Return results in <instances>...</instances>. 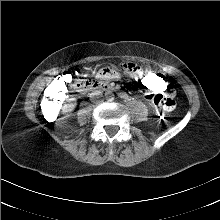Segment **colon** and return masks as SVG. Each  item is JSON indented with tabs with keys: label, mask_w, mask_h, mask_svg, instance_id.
<instances>
[{
	"label": "colon",
	"mask_w": 220,
	"mask_h": 220,
	"mask_svg": "<svg viewBox=\"0 0 220 220\" xmlns=\"http://www.w3.org/2000/svg\"><path fill=\"white\" fill-rule=\"evenodd\" d=\"M139 72L133 76H129L130 81L135 87L146 88L151 92H158L152 94L149 100L157 106L156 117L160 121H167L171 117V110L175 106L173 95L161 94L169 89L170 81L166 75L158 73L156 70L148 69L138 66ZM79 71H71L63 73L56 78L50 87V94L44 100V112L55 111L60 104V96L63 94L65 83L74 77L78 76Z\"/></svg>",
	"instance_id": "5ec220e1"
}]
</instances>
